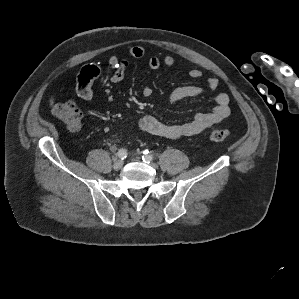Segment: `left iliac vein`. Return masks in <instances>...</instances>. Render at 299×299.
Instances as JSON below:
<instances>
[{
	"mask_svg": "<svg viewBox=\"0 0 299 299\" xmlns=\"http://www.w3.org/2000/svg\"><path fill=\"white\" fill-rule=\"evenodd\" d=\"M136 161H139L138 159L136 160ZM150 165L152 166V167H154V168H157V165L155 164V163H150Z\"/></svg>",
	"mask_w": 299,
	"mask_h": 299,
	"instance_id": "4c4485c4",
	"label": "left iliac vein"
}]
</instances>
